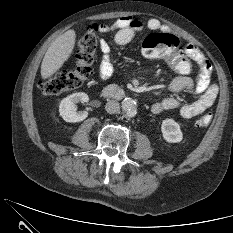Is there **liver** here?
<instances>
[{
    "instance_id": "1",
    "label": "liver",
    "mask_w": 233,
    "mask_h": 233,
    "mask_svg": "<svg viewBox=\"0 0 233 233\" xmlns=\"http://www.w3.org/2000/svg\"><path fill=\"white\" fill-rule=\"evenodd\" d=\"M75 38V31L68 30L51 43L41 64L43 79L52 76L69 59L75 45Z\"/></svg>"
}]
</instances>
